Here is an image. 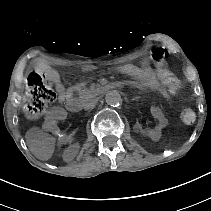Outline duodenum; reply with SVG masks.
Returning <instances> with one entry per match:
<instances>
[{"label":"duodenum","instance_id":"duodenum-1","mask_svg":"<svg viewBox=\"0 0 211 211\" xmlns=\"http://www.w3.org/2000/svg\"><path fill=\"white\" fill-rule=\"evenodd\" d=\"M125 87H138V83L136 81H123V82H117L107 85H102L97 88V93H104L106 91L112 90V89H123ZM82 104L80 101L75 99H70L67 102V108L71 112H79L81 110Z\"/></svg>","mask_w":211,"mask_h":211}]
</instances>
